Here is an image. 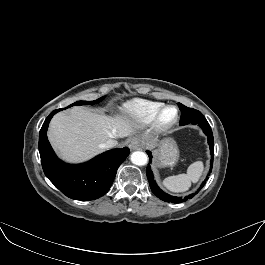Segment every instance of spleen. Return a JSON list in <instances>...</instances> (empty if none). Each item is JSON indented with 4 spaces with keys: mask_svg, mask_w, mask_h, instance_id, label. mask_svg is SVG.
Segmentation results:
<instances>
[{
    "mask_svg": "<svg viewBox=\"0 0 265 265\" xmlns=\"http://www.w3.org/2000/svg\"><path fill=\"white\" fill-rule=\"evenodd\" d=\"M203 163L196 161L192 163L186 174L170 176L164 179L163 185L172 192H185L192 183H196L203 173Z\"/></svg>",
    "mask_w": 265,
    "mask_h": 265,
    "instance_id": "3e777b00",
    "label": "spleen"
}]
</instances>
